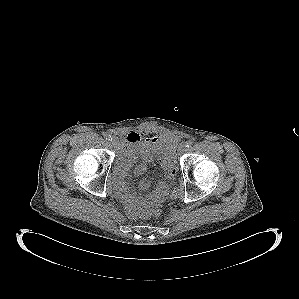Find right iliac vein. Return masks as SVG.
<instances>
[{"instance_id":"63e3f726","label":"right iliac vein","mask_w":299,"mask_h":299,"mask_svg":"<svg viewBox=\"0 0 299 299\" xmlns=\"http://www.w3.org/2000/svg\"><path fill=\"white\" fill-rule=\"evenodd\" d=\"M110 142L113 146H116L118 143V138L116 136L111 137Z\"/></svg>"}]
</instances>
